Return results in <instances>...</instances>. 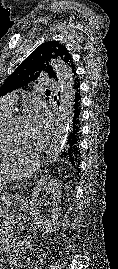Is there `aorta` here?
Returning a JSON list of instances; mask_svg holds the SVG:
<instances>
[{"mask_svg": "<svg viewBox=\"0 0 118 269\" xmlns=\"http://www.w3.org/2000/svg\"><path fill=\"white\" fill-rule=\"evenodd\" d=\"M56 72L61 90L60 110L52 140L46 151V160L51 162L57 158L64 148L72 121L73 83L74 78L70 68L59 58L51 61Z\"/></svg>", "mask_w": 118, "mask_h": 269, "instance_id": "obj_1", "label": "aorta"}]
</instances>
